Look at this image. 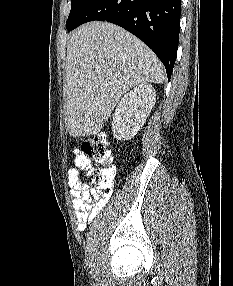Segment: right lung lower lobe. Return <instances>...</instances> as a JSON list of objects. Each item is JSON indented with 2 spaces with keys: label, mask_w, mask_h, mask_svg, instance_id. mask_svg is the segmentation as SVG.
Listing matches in <instances>:
<instances>
[{
  "label": "right lung lower lobe",
  "mask_w": 233,
  "mask_h": 286,
  "mask_svg": "<svg viewBox=\"0 0 233 286\" xmlns=\"http://www.w3.org/2000/svg\"><path fill=\"white\" fill-rule=\"evenodd\" d=\"M180 10L181 0H90L67 30L93 20L117 24L154 51L170 79L178 48Z\"/></svg>",
  "instance_id": "98d812e1"
}]
</instances>
